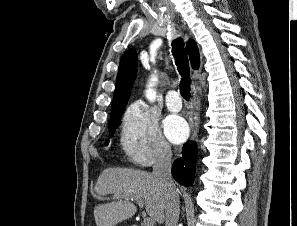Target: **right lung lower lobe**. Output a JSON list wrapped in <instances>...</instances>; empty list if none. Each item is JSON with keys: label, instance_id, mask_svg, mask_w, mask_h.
Listing matches in <instances>:
<instances>
[{"label": "right lung lower lobe", "instance_id": "1", "mask_svg": "<svg viewBox=\"0 0 297 226\" xmlns=\"http://www.w3.org/2000/svg\"><path fill=\"white\" fill-rule=\"evenodd\" d=\"M183 157L174 161L172 175L174 179L184 186H192L194 182L197 145L189 141L183 146Z\"/></svg>", "mask_w": 297, "mask_h": 226}]
</instances>
